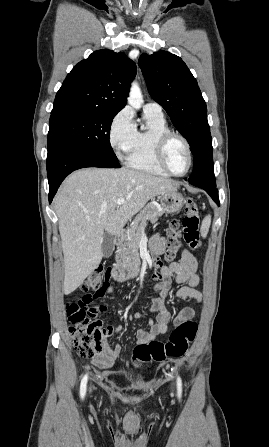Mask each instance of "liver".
<instances>
[{"label":"liver","instance_id":"obj_1","mask_svg":"<svg viewBox=\"0 0 269 447\" xmlns=\"http://www.w3.org/2000/svg\"><path fill=\"white\" fill-rule=\"evenodd\" d=\"M176 190L172 180L127 168H84L71 174L54 206L64 255V293L74 291L98 267L104 231L118 235L151 198ZM119 198H125L122 206Z\"/></svg>","mask_w":269,"mask_h":447}]
</instances>
